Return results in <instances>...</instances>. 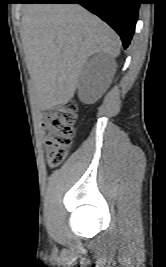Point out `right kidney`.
<instances>
[{
  "instance_id": "ca27d5eb",
  "label": "right kidney",
  "mask_w": 166,
  "mask_h": 267,
  "mask_svg": "<svg viewBox=\"0 0 166 267\" xmlns=\"http://www.w3.org/2000/svg\"><path fill=\"white\" fill-rule=\"evenodd\" d=\"M91 67V72L85 71L79 82V98L86 104L95 102L105 92L103 75L111 69V65L101 57L95 58Z\"/></svg>"
}]
</instances>
